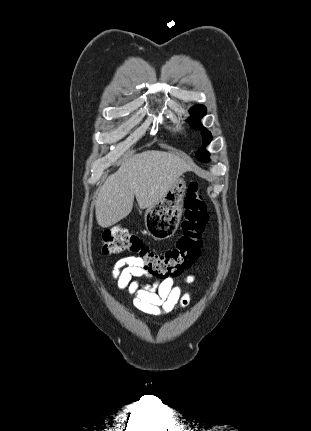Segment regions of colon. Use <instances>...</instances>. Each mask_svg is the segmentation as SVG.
<instances>
[{"instance_id":"1","label":"colon","mask_w":311,"mask_h":431,"mask_svg":"<svg viewBox=\"0 0 311 431\" xmlns=\"http://www.w3.org/2000/svg\"><path fill=\"white\" fill-rule=\"evenodd\" d=\"M207 220V205L199 184L191 181L184 200L182 233L172 248L156 251L136 234L125 228L115 227L103 233L102 251L107 255L135 253L144 262L149 275L161 279L176 277L190 268L200 256L201 237Z\"/></svg>"}]
</instances>
